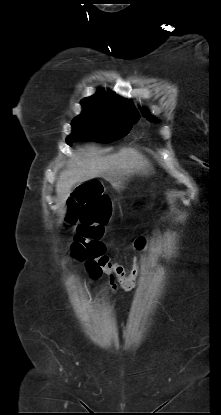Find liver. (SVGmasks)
Listing matches in <instances>:
<instances>
[{
  "label": "liver",
  "mask_w": 221,
  "mask_h": 415,
  "mask_svg": "<svg viewBox=\"0 0 221 415\" xmlns=\"http://www.w3.org/2000/svg\"><path fill=\"white\" fill-rule=\"evenodd\" d=\"M150 164L137 150L124 148L119 152L101 157L90 147L83 151L80 165L63 170L56 182V193L60 205L65 204L72 187L93 178L105 177L116 189L120 188L126 177L134 174H147Z\"/></svg>",
  "instance_id": "obj_1"
}]
</instances>
